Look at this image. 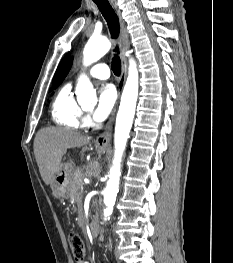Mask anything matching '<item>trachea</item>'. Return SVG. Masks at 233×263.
Listing matches in <instances>:
<instances>
[{"label":"trachea","mask_w":233,"mask_h":263,"mask_svg":"<svg viewBox=\"0 0 233 263\" xmlns=\"http://www.w3.org/2000/svg\"><path fill=\"white\" fill-rule=\"evenodd\" d=\"M94 3L98 6L103 17L105 18L108 28L110 30L111 36L113 39H116L119 35V19L114 9L107 0H93ZM119 48L116 47L114 50L118 52ZM112 71L115 75L119 76L121 73V61L118 55H115L112 59L111 65Z\"/></svg>","instance_id":"1"}]
</instances>
